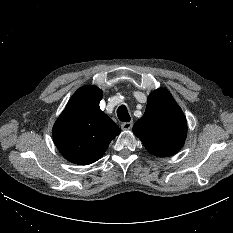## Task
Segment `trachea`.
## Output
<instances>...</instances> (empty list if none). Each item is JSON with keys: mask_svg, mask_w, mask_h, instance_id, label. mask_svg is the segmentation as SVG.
I'll return each instance as SVG.
<instances>
[{"mask_svg": "<svg viewBox=\"0 0 233 233\" xmlns=\"http://www.w3.org/2000/svg\"><path fill=\"white\" fill-rule=\"evenodd\" d=\"M117 116H118L119 120L122 122H129L130 121V115H129L128 110H127L125 105H121L117 109Z\"/></svg>", "mask_w": 233, "mask_h": 233, "instance_id": "3493384b", "label": "trachea"}]
</instances>
